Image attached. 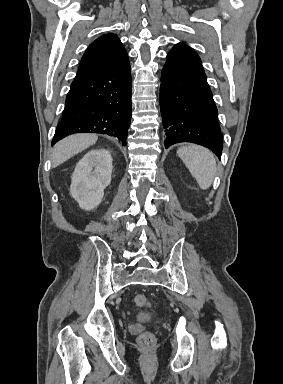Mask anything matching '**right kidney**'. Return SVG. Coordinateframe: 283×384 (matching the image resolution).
I'll return each mask as SVG.
<instances>
[{
	"mask_svg": "<svg viewBox=\"0 0 283 384\" xmlns=\"http://www.w3.org/2000/svg\"><path fill=\"white\" fill-rule=\"evenodd\" d=\"M112 168L111 154L107 150H91L79 160L72 174L70 194L82 210L89 212L99 206L111 182Z\"/></svg>",
	"mask_w": 283,
	"mask_h": 384,
	"instance_id": "1",
	"label": "right kidney"
}]
</instances>
